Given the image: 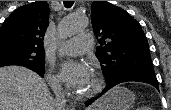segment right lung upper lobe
I'll use <instances>...</instances> for the list:
<instances>
[{
	"instance_id": "1",
	"label": "right lung upper lobe",
	"mask_w": 171,
	"mask_h": 110,
	"mask_svg": "<svg viewBox=\"0 0 171 110\" xmlns=\"http://www.w3.org/2000/svg\"><path fill=\"white\" fill-rule=\"evenodd\" d=\"M49 19L46 1H35L17 8L0 28V43L44 50L43 38Z\"/></svg>"
}]
</instances>
